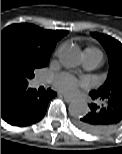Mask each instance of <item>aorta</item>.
<instances>
[{
    "instance_id": "1",
    "label": "aorta",
    "mask_w": 122,
    "mask_h": 154,
    "mask_svg": "<svg viewBox=\"0 0 122 154\" xmlns=\"http://www.w3.org/2000/svg\"><path fill=\"white\" fill-rule=\"evenodd\" d=\"M82 54L76 46H66L59 52L60 62L68 68H73L81 63ZM89 107L84 101H72L69 104V113L74 117H80L87 114Z\"/></svg>"
}]
</instances>
